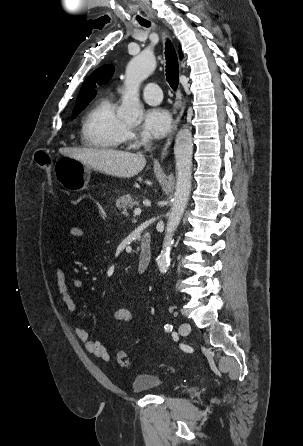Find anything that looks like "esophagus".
Wrapping results in <instances>:
<instances>
[{"label": "esophagus", "mask_w": 303, "mask_h": 446, "mask_svg": "<svg viewBox=\"0 0 303 446\" xmlns=\"http://www.w3.org/2000/svg\"><path fill=\"white\" fill-rule=\"evenodd\" d=\"M184 110H185V103L183 102L182 105H181L180 112H179V114L177 115V117L175 118V120H174V122L172 124L171 131L169 133V136H168V138L166 140L164 149L162 151L161 160H164L165 157L168 155V152H169V149H170V146H171V142H172L173 137H174V135L176 133L178 124H179L180 119H181V117H182V115L184 113Z\"/></svg>", "instance_id": "obj_1"}]
</instances>
